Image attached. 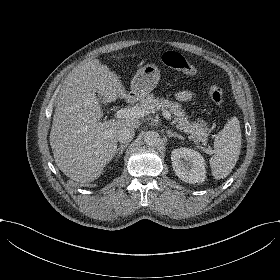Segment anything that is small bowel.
Instances as JSON below:
<instances>
[{"instance_id": "c3829d8e", "label": "small bowel", "mask_w": 280, "mask_h": 280, "mask_svg": "<svg viewBox=\"0 0 280 280\" xmlns=\"http://www.w3.org/2000/svg\"><path fill=\"white\" fill-rule=\"evenodd\" d=\"M192 97L191 93L189 91H180L176 94V99L185 102L190 100Z\"/></svg>"}]
</instances>
